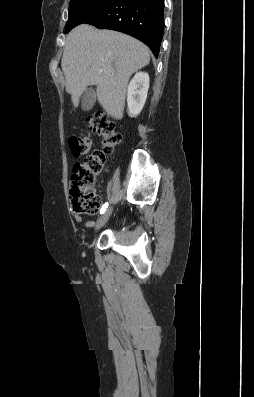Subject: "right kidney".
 <instances>
[{"mask_svg": "<svg viewBox=\"0 0 254 397\" xmlns=\"http://www.w3.org/2000/svg\"><path fill=\"white\" fill-rule=\"evenodd\" d=\"M148 89V73H136L133 79L130 81L127 90L128 114L130 117H135L141 112L146 102Z\"/></svg>", "mask_w": 254, "mask_h": 397, "instance_id": "1", "label": "right kidney"}]
</instances>
